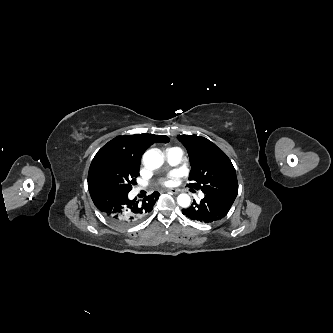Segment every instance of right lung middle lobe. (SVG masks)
Returning a JSON list of instances; mask_svg holds the SVG:
<instances>
[{
  "mask_svg": "<svg viewBox=\"0 0 333 333\" xmlns=\"http://www.w3.org/2000/svg\"><path fill=\"white\" fill-rule=\"evenodd\" d=\"M139 165L112 153H97L93 158L89 173L88 186L102 184L129 192L139 176Z\"/></svg>",
  "mask_w": 333,
  "mask_h": 333,
  "instance_id": "obj_1",
  "label": "right lung middle lobe"
}]
</instances>
